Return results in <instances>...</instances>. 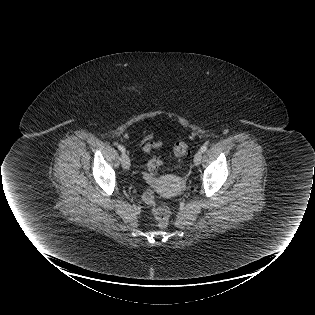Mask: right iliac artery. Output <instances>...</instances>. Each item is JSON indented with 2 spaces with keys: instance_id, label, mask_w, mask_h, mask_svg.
Here are the masks:
<instances>
[{
  "instance_id": "obj_1",
  "label": "right iliac artery",
  "mask_w": 315,
  "mask_h": 315,
  "mask_svg": "<svg viewBox=\"0 0 315 315\" xmlns=\"http://www.w3.org/2000/svg\"><path fill=\"white\" fill-rule=\"evenodd\" d=\"M118 149L122 152L125 153V148L121 145H118Z\"/></svg>"
}]
</instances>
